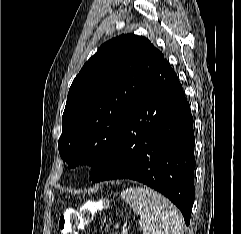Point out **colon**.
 <instances>
[{"mask_svg":"<svg viewBox=\"0 0 241 234\" xmlns=\"http://www.w3.org/2000/svg\"><path fill=\"white\" fill-rule=\"evenodd\" d=\"M105 204L93 203L82 210L66 211L60 216L58 225L61 234H79V231L92 220L95 212Z\"/></svg>","mask_w":241,"mask_h":234,"instance_id":"5ec220e1","label":"colon"}]
</instances>
